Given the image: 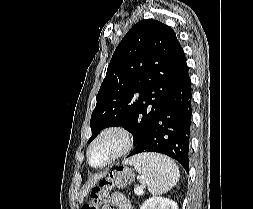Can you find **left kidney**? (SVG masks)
<instances>
[{"label": "left kidney", "instance_id": "left-kidney-1", "mask_svg": "<svg viewBox=\"0 0 253 209\" xmlns=\"http://www.w3.org/2000/svg\"><path fill=\"white\" fill-rule=\"evenodd\" d=\"M140 209H178V206L168 198L152 197L146 200Z\"/></svg>", "mask_w": 253, "mask_h": 209}]
</instances>
